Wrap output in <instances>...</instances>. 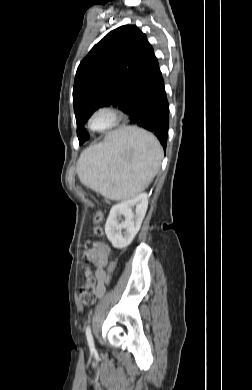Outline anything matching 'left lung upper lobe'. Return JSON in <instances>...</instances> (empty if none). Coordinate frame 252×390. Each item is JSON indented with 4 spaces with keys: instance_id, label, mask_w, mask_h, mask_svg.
<instances>
[{
    "instance_id": "5c2ea615",
    "label": "left lung upper lobe",
    "mask_w": 252,
    "mask_h": 390,
    "mask_svg": "<svg viewBox=\"0 0 252 390\" xmlns=\"http://www.w3.org/2000/svg\"><path fill=\"white\" fill-rule=\"evenodd\" d=\"M158 65L146 35L135 25L110 31L78 66L73 104L79 143L83 125L103 106L124 110L131 95Z\"/></svg>"
}]
</instances>
